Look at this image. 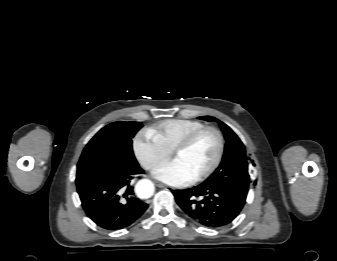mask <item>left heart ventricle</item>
<instances>
[{
    "label": "left heart ventricle",
    "instance_id": "b2bd125f",
    "mask_svg": "<svg viewBox=\"0 0 337 261\" xmlns=\"http://www.w3.org/2000/svg\"><path fill=\"white\" fill-rule=\"evenodd\" d=\"M218 150V139L212 132H205L184 152L176 155L178 161L194 178L213 163Z\"/></svg>",
    "mask_w": 337,
    "mask_h": 261
}]
</instances>
